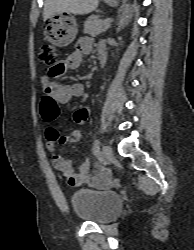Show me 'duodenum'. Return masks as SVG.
<instances>
[{
    "instance_id": "410a0bca",
    "label": "duodenum",
    "mask_w": 194,
    "mask_h": 250,
    "mask_svg": "<svg viewBox=\"0 0 194 250\" xmlns=\"http://www.w3.org/2000/svg\"><path fill=\"white\" fill-rule=\"evenodd\" d=\"M99 63L101 66H104L107 63V56L105 52L99 54Z\"/></svg>"
}]
</instances>
